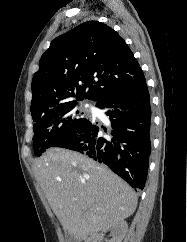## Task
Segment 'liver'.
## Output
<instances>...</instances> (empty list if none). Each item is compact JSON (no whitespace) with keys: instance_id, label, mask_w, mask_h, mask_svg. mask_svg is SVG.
<instances>
[{"instance_id":"liver-1","label":"liver","mask_w":187,"mask_h":242,"mask_svg":"<svg viewBox=\"0 0 187 242\" xmlns=\"http://www.w3.org/2000/svg\"><path fill=\"white\" fill-rule=\"evenodd\" d=\"M34 175L65 232L77 242L123 221L137 195L105 165L61 148L35 161Z\"/></svg>"}]
</instances>
